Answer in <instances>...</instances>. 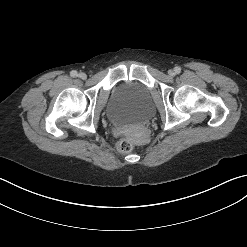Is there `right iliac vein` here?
<instances>
[{
  "label": "right iliac vein",
  "instance_id": "1",
  "mask_svg": "<svg viewBox=\"0 0 247 247\" xmlns=\"http://www.w3.org/2000/svg\"><path fill=\"white\" fill-rule=\"evenodd\" d=\"M78 76H79V78H81V79H86V77H87L86 74H85V73H82V72L79 73Z\"/></svg>",
  "mask_w": 247,
  "mask_h": 247
}]
</instances>
